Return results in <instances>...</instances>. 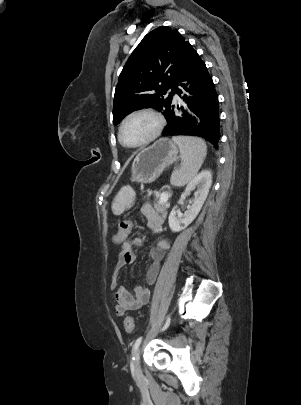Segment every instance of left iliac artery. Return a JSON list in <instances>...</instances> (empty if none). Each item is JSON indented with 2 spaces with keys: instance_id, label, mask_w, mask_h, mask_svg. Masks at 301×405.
Here are the masks:
<instances>
[{
  "instance_id": "1",
  "label": "left iliac artery",
  "mask_w": 301,
  "mask_h": 405,
  "mask_svg": "<svg viewBox=\"0 0 301 405\" xmlns=\"http://www.w3.org/2000/svg\"><path fill=\"white\" fill-rule=\"evenodd\" d=\"M169 324H170V318H167V321H166L165 325L163 326L162 331L166 330V329L168 328ZM142 338H143V337H139L138 339H136V341H135V343H134V346H133L134 352H135V351L137 350V348L139 347V345H140V343H141V341H142ZM132 360H134V357H132Z\"/></svg>"
}]
</instances>
